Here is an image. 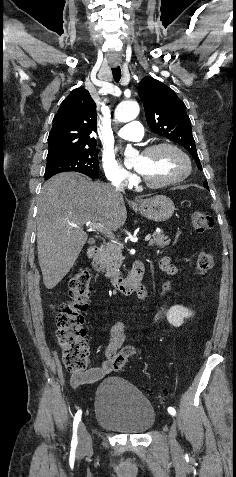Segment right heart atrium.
Segmentation results:
<instances>
[{"label": "right heart atrium", "mask_w": 236, "mask_h": 477, "mask_svg": "<svg viewBox=\"0 0 236 477\" xmlns=\"http://www.w3.org/2000/svg\"><path fill=\"white\" fill-rule=\"evenodd\" d=\"M102 168L108 182L118 185H126L133 181L134 176L121 166L113 156L104 155Z\"/></svg>", "instance_id": "1"}]
</instances>
